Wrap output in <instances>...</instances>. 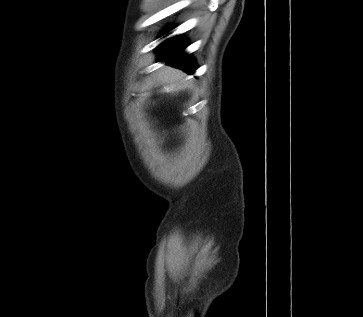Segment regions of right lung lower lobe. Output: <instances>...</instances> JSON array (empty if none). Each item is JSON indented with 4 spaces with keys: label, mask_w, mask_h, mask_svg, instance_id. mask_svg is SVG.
<instances>
[{
    "label": "right lung lower lobe",
    "mask_w": 363,
    "mask_h": 317,
    "mask_svg": "<svg viewBox=\"0 0 363 317\" xmlns=\"http://www.w3.org/2000/svg\"><path fill=\"white\" fill-rule=\"evenodd\" d=\"M187 45L178 37L171 38L159 45V60H168V64L180 67L188 73H193L196 69L193 60L189 55H183L181 52Z\"/></svg>",
    "instance_id": "right-lung-lower-lobe-1"
}]
</instances>
